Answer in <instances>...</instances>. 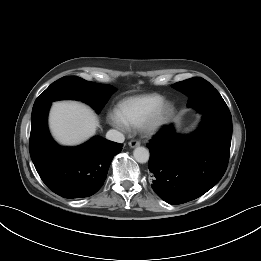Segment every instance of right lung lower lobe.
I'll use <instances>...</instances> for the list:
<instances>
[{
	"mask_svg": "<svg viewBox=\"0 0 261 261\" xmlns=\"http://www.w3.org/2000/svg\"><path fill=\"white\" fill-rule=\"evenodd\" d=\"M51 103L32 111L30 156L47 187L68 199L88 197L103 185L122 144L94 137L75 148H62L51 138L47 114Z\"/></svg>",
	"mask_w": 261,
	"mask_h": 261,
	"instance_id": "1",
	"label": "right lung lower lobe"
}]
</instances>
